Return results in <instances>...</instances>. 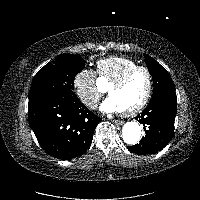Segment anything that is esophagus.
<instances>
[{
  "label": "esophagus",
  "instance_id": "obj_1",
  "mask_svg": "<svg viewBox=\"0 0 200 200\" xmlns=\"http://www.w3.org/2000/svg\"><path fill=\"white\" fill-rule=\"evenodd\" d=\"M113 123L116 124V125H122V124H123V121H120V120H113Z\"/></svg>",
  "mask_w": 200,
  "mask_h": 200
}]
</instances>
